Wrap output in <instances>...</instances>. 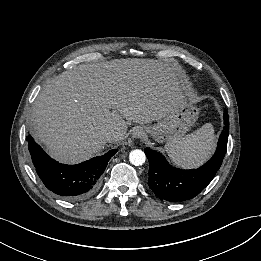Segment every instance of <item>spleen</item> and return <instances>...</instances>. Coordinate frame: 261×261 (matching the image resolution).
Listing matches in <instances>:
<instances>
[{
  "label": "spleen",
  "mask_w": 261,
  "mask_h": 261,
  "mask_svg": "<svg viewBox=\"0 0 261 261\" xmlns=\"http://www.w3.org/2000/svg\"><path fill=\"white\" fill-rule=\"evenodd\" d=\"M215 148L214 129L211 123L204 124L195 132L169 141L165 150L179 166L194 167L202 164Z\"/></svg>",
  "instance_id": "1"
}]
</instances>
